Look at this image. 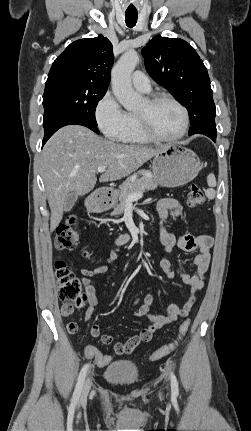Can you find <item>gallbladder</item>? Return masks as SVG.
I'll list each match as a JSON object with an SVG mask.
<instances>
[{
	"label": "gallbladder",
	"mask_w": 251,
	"mask_h": 431,
	"mask_svg": "<svg viewBox=\"0 0 251 431\" xmlns=\"http://www.w3.org/2000/svg\"><path fill=\"white\" fill-rule=\"evenodd\" d=\"M77 199H78V195L70 194L65 201L64 211L69 212L73 208V206L75 205Z\"/></svg>",
	"instance_id": "obj_1"
}]
</instances>
